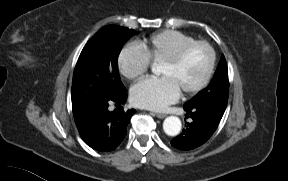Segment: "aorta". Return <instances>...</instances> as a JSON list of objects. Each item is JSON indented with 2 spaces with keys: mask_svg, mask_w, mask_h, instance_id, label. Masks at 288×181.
<instances>
[{
  "mask_svg": "<svg viewBox=\"0 0 288 181\" xmlns=\"http://www.w3.org/2000/svg\"><path fill=\"white\" fill-rule=\"evenodd\" d=\"M181 127V120L176 116H169L163 122V130L169 136H177Z\"/></svg>",
  "mask_w": 288,
  "mask_h": 181,
  "instance_id": "1",
  "label": "aorta"
}]
</instances>
